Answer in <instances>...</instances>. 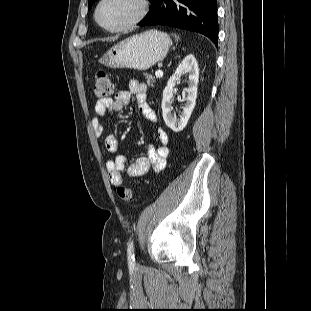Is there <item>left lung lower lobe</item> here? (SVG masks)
Listing matches in <instances>:
<instances>
[{
	"instance_id": "0a47b994",
	"label": "left lung lower lobe",
	"mask_w": 311,
	"mask_h": 311,
	"mask_svg": "<svg viewBox=\"0 0 311 311\" xmlns=\"http://www.w3.org/2000/svg\"><path fill=\"white\" fill-rule=\"evenodd\" d=\"M151 8L140 26L166 25L201 33L217 46L216 0H149Z\"/></svg>"
}]
</instances>
